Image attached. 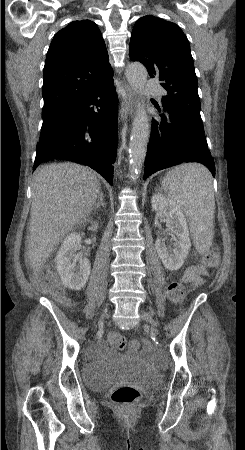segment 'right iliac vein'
<instances>
[{
  "label": "right iliac vein",
  "instance_id": "63e3f726",
  "mask_svg": "<svg viewBox=\"0 0 245 450\" xmlns=\"http://www.w3.org/2000/svg\"><path fill=\"white\" fill-rule=\"evenodd\" d=\"M105 313H106V310H104V313H103V315H102V317H101V319H100V321H99V326H101L102 324H103V319H104V315H105Z\"/></svg>",
  "mask_w": 245,
  "mask_h": 450
}]
</instances>
